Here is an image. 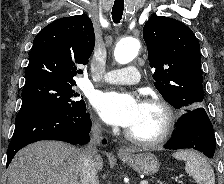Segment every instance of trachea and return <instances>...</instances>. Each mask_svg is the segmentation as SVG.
Wrapping results in <instances>:
<instances>
[{
	"mask_svg": "<svg viewBox=\"0 0 224 184\" xmlns=\"http://www.w3.org/2000/svg\"><path fill=\"white\" fill-rule=\"evenodd\" d=\"M124 10V0H115L112 8V19L115 23H119L122 19Z\"/></svg>",
	"mask_w": 224,
	"mask_h": 184,
	"instance_id": "trachea-1",
	"label": "trachea"
}]
</instances>
